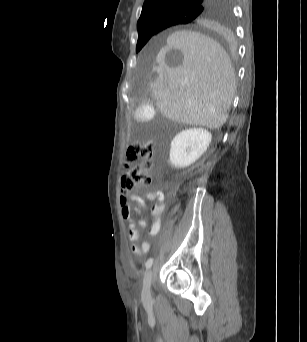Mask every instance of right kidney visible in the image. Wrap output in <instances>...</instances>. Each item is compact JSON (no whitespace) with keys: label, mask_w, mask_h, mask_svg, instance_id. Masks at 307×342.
<instances>
[{"label":"right kidney","mask_w":307,"mask_h":342,"mask_svg":"<svg viewBox=\"0 0 307 342\" xmlns=\"http://www.w3.org/2000/svg\"><path fill=\"white\" fill-rule=\"evenodd\" d=\"M212 134L204 128H189L179 132L171 142L169 160L172 168L182 170L194 164L206 152Z\"/></svg>","instance_id":"1"}]
</instances>
